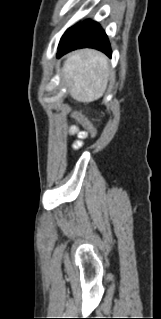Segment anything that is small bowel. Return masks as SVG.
Masks as SVG:
<instances>
[{"label":"small bowel","mask_w":161,"mask_h":319,"mask_svg":"<svg viewBox=\"0 0 161 319\" xmlns=\"http://www.w3.org/2000/svg\"><path fill=\"white\" fill-rule=\"evenodd\" d=\"M69 134L72 135V136H76L78 139H83L87 136V134L85 133V131H80L78 129V127L72 125L69 129ZM80 144V141L77 140L75 143H74V147H77L78 145Z\"/></svg>","instance_id":"small-bowel-1"}]
</instances>
